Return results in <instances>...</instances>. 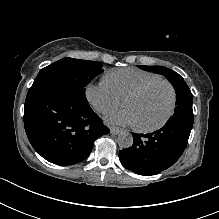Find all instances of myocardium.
<instances>
[{"mask_svg": "<svg viewBox=\"0 0 219 219\" xmlns=\"http://www.w3.org/2000/svg\"><path fill=\"white\" fill-rule=\"evenodd\" d=\"M159 83H164V84L168 85V87L170 88V91H171V101H170L168 111H167L165 117L163 118V120L155 126L143 127V126H138L137 125L136 129L140 132H144V133L154 132V131H157V130L163 128L167 124V122L169 121V119L171 118V116L173 114L175 104H176V90H175L174 85L167 79L160 78V79L151 80L149 82H146V83L142 84L141 86H139L135 90L131 91L130 93H128L125 96V98L123 99V106H124L125 101L139 96L140 94L145 92L150 87H152L156 84H159Z\"/></svg>", "mask_w": 219, "mask_h": 219, "instance_id": "1", "label": "myocardium"}]
</instances>
